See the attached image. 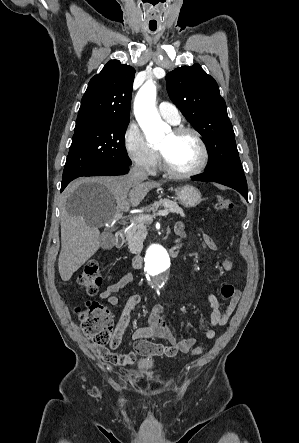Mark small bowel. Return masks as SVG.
Instances as JSON below:
<instances>
[{"label":"small bowel","instance_id":"1","mask_svg":"<svg viewBox=\"0 0 299 443\" xmlns=\"http://www.w3.org/2000/svg\"><path fill=\"white\" fill-rule=\"evenodd\" d=\"M175 232L179 237L185 234V224L178 222L175 226ZM203 241L210 250L217 249V243L207 233L203 234ZM180 244V242L178 243ZM221 266L224 270L230 271L233 269V261L229 257L223 258ZM134 276L130 273L123 275L118 281L108 285L100 293V298L106 301L111 306L119 305V299L116 296L120 290L132 283ZM221 295L227 301L224 311L219 310V301L215 295L208 297L212 311L209 315V326L206 330V336L213 338L215 336L214 327L224 326L235 311L240 300V291L232 284H224L221 288ZM140 294H132L123 307L121 315L117 321L113 338L108 349L109 355L105 357L107 361L118 366H125L132 364L138 355L148 354H164L168 357H173L178 353H188L195 345L196 340L192 337H187L177 340L163 315V306L155 304L152 306L149 317L148 326L137 328L133 332V340L135 341V348L133 351L125 353H116L115 350L120 345L124 332L131 320V313L135 307L141 302ZM156 340L168 341V345H163Z\"/></svg>","mask_w":299,"mask_h":443}]
</instances>
